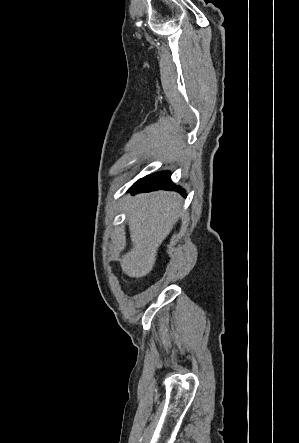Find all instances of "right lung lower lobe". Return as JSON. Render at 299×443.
<instances>
[{
  "mask_svg": "<svg viewBox=\"0 0 299 443\" xmlns=\"http://www.w3.org/2000/svg\"><path fill=\"white\" fill-rule=\"evenodd\" d=\"M173 186L175 185L170 179V173L160 172L140 179L130 188V191L131 194H135L139 192H150L159 189L170 190L171 188L174 189ZM175 190H177V187H175ZM180 190L184 192L185 196V190Z\"/></svg>",
  "mask_w": 299,
  "mask_h": 443,
  "instance_id": "obj_1",
  "label": "right lung lower lobe"
}]
</instances>
